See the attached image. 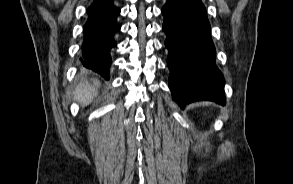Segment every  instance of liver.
Listing matches in <instances>:
<instances>
[{"label":"liver","instance_id":"obj_1","mask_svg":"<svg viewBox=\"0 0 293 184\" xmlns=\"http://www.w3.org/2000/svg\"><path fill=\"white\" fill-rule=\"evenodd\" d=\"M99 86L97 80L93 81V86L88 82L81 81L74 90V99L79 101L82 105L91 103L94 96L97 94L96 87Z\"/></svg>","mask_w":293,"mask_h":184}]
</instances>
